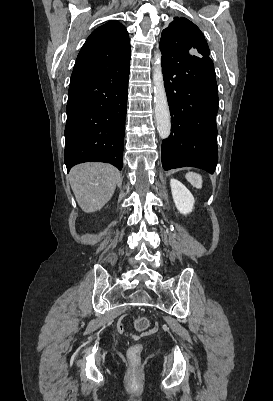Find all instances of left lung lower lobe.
Segmentation results:
<instances>
[{"label":"left lung lower lobe","instance_id":"obj_1","mask_svg":"<svg viewBox=\"0 0 273 401\" xmlns=\"http://www.w3.org/2000/svg\"><path fill=\"white\" fill-rule=\"evenodd\" d=\"M162 52L171 134L162 142L164 170L191 166L213 173L218 161V88L213 61L184 50Z\"/></svg>","mask_w":273,"mask_h":401}]
</instances>
